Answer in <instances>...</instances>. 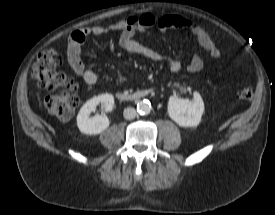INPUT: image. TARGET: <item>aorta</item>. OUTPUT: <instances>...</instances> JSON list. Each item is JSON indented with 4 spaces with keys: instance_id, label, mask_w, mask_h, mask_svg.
I'll return each mask as SVG.
<instances>
[{
    "instance_id": "1",
    "label": "aorta",
    "mask_w": 275,
    "mask_h": 215,
    "mask_svg": "<svg viewBox=\"0 0 275 215\" xmlns=\"http://www.w3.org/2000/svg\"><path fill=\"white\" fill-rule=\"evenodd\" d=\"M137 111L141 115L149 114L151 111V104L148 100L139 101L137 104Z\"/></svg>"
}]
</instances>
